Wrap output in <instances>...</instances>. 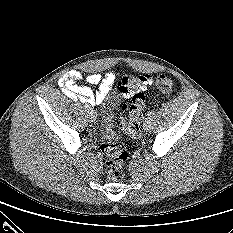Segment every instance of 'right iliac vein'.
Here are the masks:
<instances>
[{"mask_svg": "<svg viewBox=\"0 0 233 233\" xmlns=\"http://www.w3.org/2000/svg\"><path fill=\"white\" fill-rule=\"evenodd\" d=\"M88 114H89V119H90V121L94 122V121L96 120V114H95L94 110L91 109V110L88 112Z\"/></svg>", "mask_w": 233, "mask_h": 233, "instance_id": "63e3f726", "label": "right iliac vein"}]
</instances>
